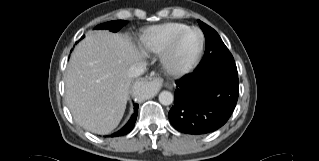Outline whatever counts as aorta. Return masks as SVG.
<instances>
[{
  "instance_id": "aorta-1",
  "label": "aorta",
  "mask_w": 319,
  "mask_h": 161,
  "mask_svg": "<svg viewBox=\"0 0 319 161\" xmlns=\"http://www.w3.org/2000/svg\"><path fill=\"white\" fill-rule=\"evenodd\" d=\"M147 89H149V86L144 87L140 91V96L141 97H148ZM173 100H174L173 94L171 92H169V91H162L159 94V102L162 105H165V106L170 105V104H172Z\"/></svg>"
}]
</instances>
